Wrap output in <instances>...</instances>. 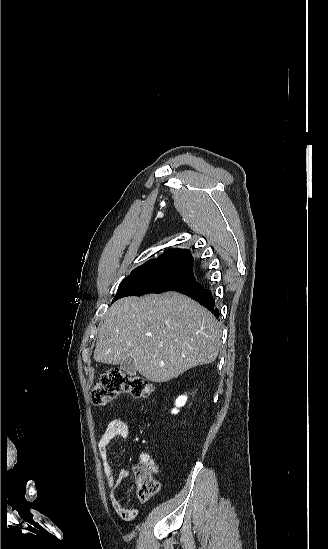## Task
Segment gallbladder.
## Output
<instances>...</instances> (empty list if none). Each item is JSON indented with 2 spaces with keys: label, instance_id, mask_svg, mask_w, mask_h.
<instances>
[{
  "label": "gallbladder",
  "instance_id": "bac80fb5",
  "mask_svg": "<svg viewBox=\"0 0 328 549\" xmlns=\"http://www.w3.org/2000/svg\"><path fill=\"white\" fill-rule=\"evenodd\" d=\"M120 367L122 371H125L126 375H130V377H135V375H137L136 363L132 357H127L125 361H122Z\"/></svg>",
  "mask_w": 328,
  "mask_h": 549
}]
</instances>
